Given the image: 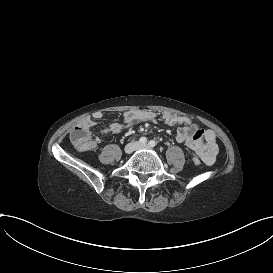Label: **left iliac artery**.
Here are the masks:
<instances>
[{
	"mask_svg": "<svg viewBox=\"0 0 273 273\" xmlns=\"http://www.w3.org/2000/svg\"><path fill=\"white\" fill-rule=\"evenodd\" d=\"M149 146L154 147L156 145V142L154 140L149 141Z\"/></svg>",
	"mask_w": 273,
	"mask_h": 273,
	"instance_id": "obj_1",
	"label": "left iliac artery"
}]
</instances>
